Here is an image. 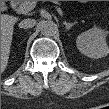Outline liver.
Listing matches in <instances>:
<instances>
[{"label":"liver","instance_id":"6515ba94","mask_svg":"<svg viewBox=\"0 0 109 109\" xmlns=\"http://www.w3.org/2000/svg\"><path fill=\"white\" fill-rule=\"evenodd\" d=\"M18 21L17 17L3 14L1 16V70L5 71L8 65L10 47L14 25Z\"/></svg>","mask_w":109,"mask_h":109}]
</instances>
